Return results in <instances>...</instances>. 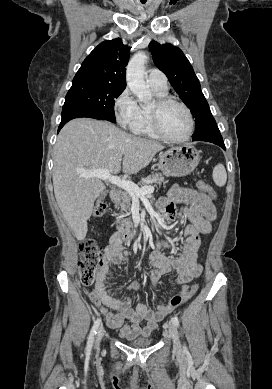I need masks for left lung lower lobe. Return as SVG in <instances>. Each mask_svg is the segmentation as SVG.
Returning <instances> with one entry per match:
<instances>
[{
	"mask_svg": "<svg viewBox=\"0 0 272 389\" xmlns=\"http://www.w3.org/2000/svg\"><path fill=\"white\" fill-rule=\"evenodd\" d=\"M192 140L193 141L211 142V143H214V144L222 147L224 150H226L224 142H223V138L220 134V131H219L217 125L213 126L211 129L206 131L204 134H202L201 136H199L197 138H193Z\"/></svg>",
	"mask_w": 272,
	"mask_h": 389,
	"instance_id": "left-lung-lower-lobe-1",
	"label": "left lung lower lobe"
}]
</instances>
